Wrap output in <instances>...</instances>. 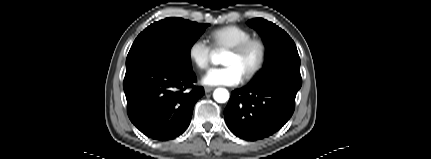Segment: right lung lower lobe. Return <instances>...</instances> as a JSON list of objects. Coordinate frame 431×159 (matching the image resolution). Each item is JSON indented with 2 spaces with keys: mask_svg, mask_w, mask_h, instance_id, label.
<instances>
[{
  "mask_svg": "<svg viewBox=\"0 0 431 159\" xmlns=\"http://www.w3.org/2000/svg\"><path fill=\"white\" fill-rule=\"evenodd\" d=\"M192 70L148 61L126 70L124 92L131 122L146 136L167 141L180 136L190 124L195 103L204 95L194 87ZM193 87L189 93L184 90Z\"/></svg>",
  "mask_w": 431,
  "mask_h": 159,
  "instance_id": "obj_1",
  "label": "right lung lower lobe"
}]
</instances>
